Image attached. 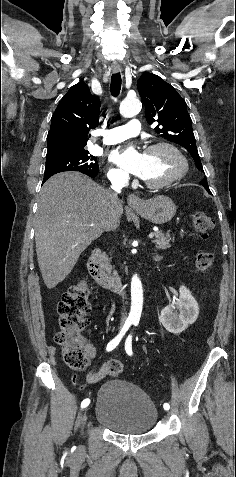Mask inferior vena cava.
I'll return each mask as SVG.
<instances>
[{"label": "inferior vena cava", "instance_id": "obj_1", "mask_svg": "<svg viewBox=\"0 0 236 477\" xmlns=\"http://www.w3.org/2000/svg\"><path fill=\"white\" fill-rule=\"evenodd\" d=\"M127 184V180L123 177H117L112 180V196H111V205L109 207L108 211V217L106 224L109 229L111 230H116L118 228V219H117V213H116V203H117V195L121 192V189ZM126 318V313H122V321H124Z\"/></svg>", "mask_w": 236, "mask_h": 477}]
</instances>
